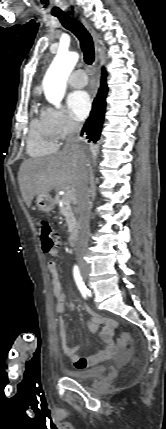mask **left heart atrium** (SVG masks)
<instances>
[{"instance_id":"left-heart-atrium-1","label":"left heart atrium","mask_w":166,"mask_h":429,"mask_svg":"<svg viewBox=\"0 0 166 429\" xmlns=\"http://www.w3.org/2000/svg\"><path fill=\"white\" fill-rule=\"evenodd\" d=\"M68 108L71 116L78 121L84 120L91 109V99L86 91H75L68 97Z\"/></svg>"}]
</instances>
